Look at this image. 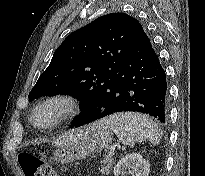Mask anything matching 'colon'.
<instances>
[{"label": "colon", "instance_id": "1", "mask_svg": "<svg viewBox=\"0 0 205 176\" xmlns=\"http://www.w3.org/2000/svg\"><path fill=\"white\" fill-rule=\"evenodd\" d=\"M18 164L21 167L24 176H54L50 166L32 153H19Z\"/></svg>", "mask_w": 205, "mask_h": 176}]
</instances>
